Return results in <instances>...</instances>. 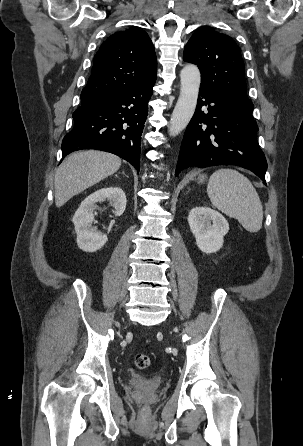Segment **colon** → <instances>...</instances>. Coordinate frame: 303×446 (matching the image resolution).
<instances>
[{"label":"colon","mask_w":303,"mask_h":446,"mask_svg":"<svg viewBox=\"0 0 303 446\" xmlns=\"http://www.w3.org/2000/svg\"><path fill=\"white\" fill-rule=\"evenodd\" d=\"M134 364L138 369L145 370V369L149 368V366L151 365V360L147 354L139 352V353H136L134 356ZM143 411L145 413H147L148 408L145 407L143 409Z\"/></svg>","instance_id":"colon-1"}]
</instances>
